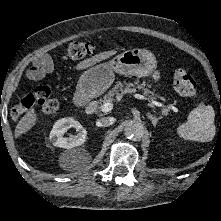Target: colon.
I'll list each match as a JSON object with an SVG mask.
<instances>
[{"label":"colon","instance_id":"1","mask_svg":"<svg viewBox=\"0 0 221 221\" xmlns=\"http://www.w3.org/2000/svg\"><path fill=\"white\" fill-rule=\"evenodd\" d=\"M95 49L96 45L91 42H73L66 48L63 58L65 60L83 59L93 54ZM174 86L182 96L189 98H197L199 96L195 80L185 69L176 71ZM35 106L40 109L43 116L48 117L57 112L59 103L52 96L48 87L39 86L32 93L23 96L11 109L10 115L13 119H18Z\"/></svg>","mask_w":221,"mask_h":221}]
</instances>
